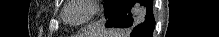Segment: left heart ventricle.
Wrapping results in <instances>:
<instances>
[{
    "label": "left heart ventricle",
    "mask_w": 219,
    "mask_h": 37,
    "mask_svg": "<svg viewBox=\"0 0 219 37\" xmlns=\"http://www.w3.org/2000/svg\"><path fill=\"white\" fill-rule=\"evenodd\" d=\"M89 12L90 9L85 3L77 1L70 5L66 14L68 20L76 22L86 18L89 15Z\"/></svg>",
    "instance_id": "b2bd125f"
}]
</instances>
